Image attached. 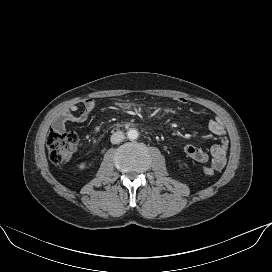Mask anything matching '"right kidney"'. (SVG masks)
I'll use <instances>...</instances> for the list:
<instances>
[{
  "instance_id": "1",
  "label": "right kidney",
  "mask_w": 272,
  "mask_h": 272,
  "mask_svg": "<svg viewBox=\"0 0 272 272\" xmlns=\"http://www.w3.org/2000/svg\"><path fill=\"white\" fill-rule=\"evenodd\" d=\"M78 167H79L80 170H83V169L86 168V163H85V162H82V163L79 164Z\"/></svg>"
}]
</instances>
